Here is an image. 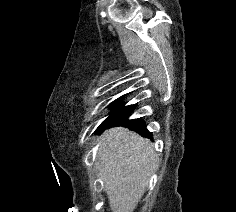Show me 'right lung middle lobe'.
Instances as JSON below:
<instances>
[{
	"label": "right lung middle lobe",
	"instance_id": "1",
	"mask_svg": "<svg viewBox=\"0 0 236 212\" xmlns=\"http://www.w3.org/2000/svg\"><path fill=\"white\" fill-rule=\"evenodd\" d=\"M123 97H124V96H122V97L116 99L114 102H112L111 106H112V105H116L117 103H119V102L123 99ZM118 108H119V107L115 108V109L110 113V116L102 122V124L97 128L96 132H100V131H102V130L105 128L106 124L112 119L113 115L116 113V111H117Z\"/></svg>",
	"mask_w": 236,
	"mask_h": 212
}]
</instances>
